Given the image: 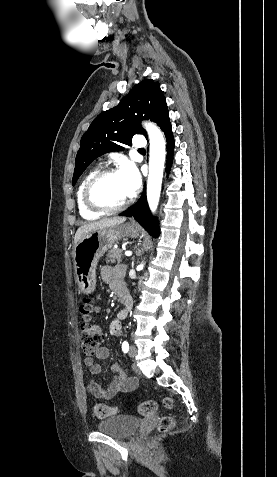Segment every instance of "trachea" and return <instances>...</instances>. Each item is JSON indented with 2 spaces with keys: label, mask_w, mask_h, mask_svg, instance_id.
Masks as SVG:
<instances>
[{
  "label": "trachea",
  "mask_w": 277,
  "mask_h": 477,
  "mask_svg": "<svg viewBox=\"0 0 277 477\" xmlns=\"http://www.w3.org/2000/svg\"><path fill=\"white\" fill-rule=\"evenodd\" d=\"M139 152H145V149H139Z\"/></svg>",
  "instance_id": "trachea-1"
}]
</instances>
